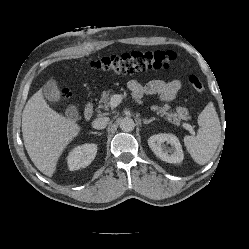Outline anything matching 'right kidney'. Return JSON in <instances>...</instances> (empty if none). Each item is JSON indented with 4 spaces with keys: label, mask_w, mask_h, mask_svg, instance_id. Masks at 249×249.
<instances>
[{
    "label": "right kidney",
    "mask_w": 249,
    "mask_h": 249,
    "mask_svg": "<svg viewBox=\"0 0 249 249\" xmlns=\"http://www.w3.org/2000/svg\"><path fill=\"white\" fill-rule=\"evenodd\" d=\"M97 153L96 144H84L75 147L67 157L68 168L71 171L87 167Z\"/></svg>",
    "instance_id": "right-kidney-1"
}]
</instances>
